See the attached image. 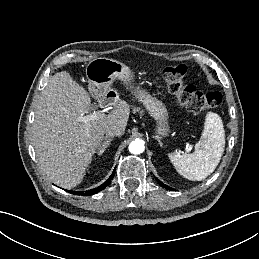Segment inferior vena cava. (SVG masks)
Here are the masks:
<instances>
[{"mask_svg":"<svg viewBox=\"0 0 259 259\" xmlns=\"http://www.w3.org/2000/svg\"><path fill=\"white\" fill-rule=\"evenodd\" d=\"M123 133L118 128H110L106 130V137L121 136Z\"/></svg>","mask_w":259,"mask_h":259,"instance_id":"inferior-vena-cava-1","label":"inferior vena cava"}]
</instances>
